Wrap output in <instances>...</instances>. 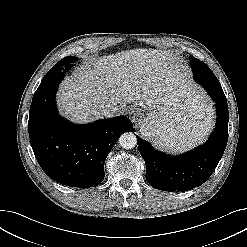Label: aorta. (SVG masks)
<instances>
[{"mask_svg": "<svg viewBox=\"0 0 247 247\" xmlns=\"http://www.w3.org/2000/svg\"><path fill=\"white\" fill-rule=\"evenodd\" d=\"M119 144L124 149H132L137 144V138L132 132H125L120 136Z\"/></svg>", "mask_w": 247, "mask_h": 247, "instance_id": "aorta-1", "label": "aorta"}]
</instances>
